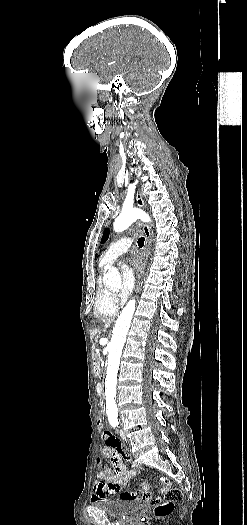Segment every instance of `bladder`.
<instances>
[{
  "label": "bladder",
  "instance_id": "1",
  "mask_svg": "<svg viewBox=\"0 0 247 525\" xmlns=\"http://www.w3.org/2000/svg\"><path fill=\"white\" fill-rule=\"evenodd\" d=\"M94 507L112 518H125L133 513H138L143 507V498L135 501L125 498L100 500L92 503Z\"/></svg>",
  "mask_w": 247,
  "mask_h": 525
}]
</instances>
